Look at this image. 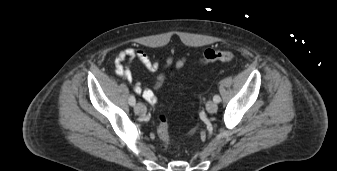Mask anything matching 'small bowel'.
I'll list each match as a JSON object with an SVG mask.
<instances>
[{"label":"small bowel","mask_w":337,"mask_h":171,"mask_svg":"<svg viewBox=\"0 0 337 171\" xmlns=\"http://www.w3.org/2000/svg\"><path fill=\"white\" fill-rule=\"evenodd\" d=\"M132 60L138 61L149 72L166 70L173 66L176 69H182L187 61L186 58H181L175 61L172 56H169L166 58L165 63L161 66L158 60L151 58L145 51L139 48H125L120 51L115 60V73L117 76L128 82L133 81V74L129 66V63ZM134 90L149 103H155L157 100L154 91L151 88L143 87L139 81L136 82Z\"/></svg>","instance_id":"small-bowel-1"}]
</instances>
